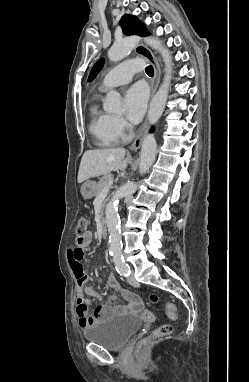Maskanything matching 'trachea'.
Instances as JSON below:
<instances>
[{"label": "trachea", "instance_id": "trachea-1", "mask_svg": "<svg viewBox=\"0 0 249 382\" xmlns=\"http://www.w3.org/2000/svg\"><path fill=\"white\" fill-rule=\"evenodd\" d=\"M145 72L149 76H153L154 75V69H153V67L151 65L146 67Z\"/></svg>", "mask_w": 249, "mask_h": 382}]
</instances>
